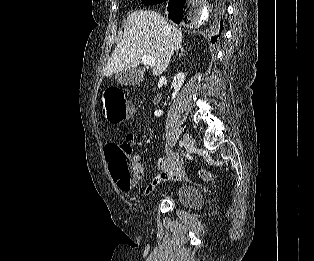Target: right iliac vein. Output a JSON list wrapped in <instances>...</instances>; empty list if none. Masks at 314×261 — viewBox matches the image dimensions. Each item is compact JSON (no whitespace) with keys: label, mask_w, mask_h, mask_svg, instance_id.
<instances>
[{"label":"right iliac vein","mask_w":314,"mask_h":261,"mask_svg":"<svg viewBox=\"0 0 314 261\" xmlns=\"http://www.w3.org/2000/svg\"><path fill=\"white\" fill-rule=\"evenodd\" d=\"M183 140L186 146V149L188 150V152H191L194 148V140L191 137V135H189L188 133H185L183 136Z\"/></svg>","instance_id":"right-iliac-vein-1"}]
</instances>
